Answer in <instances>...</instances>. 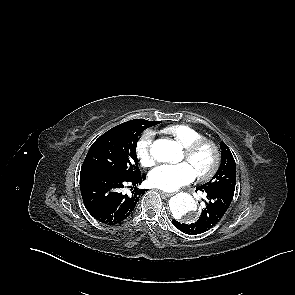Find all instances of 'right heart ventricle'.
<instances>
[{
  "label": "right heart ventricle",
  "mask_w": 295,
  "mask_h": 295,
  "mask_svg": "<svg viewBox=\"0 0 295 295\" xmlns=\"http://www.w3.org/2000/svg\"><path fill=\"white\" fill-rule=\"evenodd\" d=\"M163 132L170 135L182 147H186L193 142L204 138L203 134L200 131L183 124L170 125L164 128Z\"/></svg>",
  "instance_id": "right-heart-ventricle-1"
}]
</instances>
